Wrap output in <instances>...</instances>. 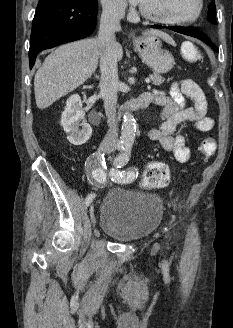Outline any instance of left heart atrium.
<instances>
[{"instance_id":"1","label":"left heart atrium","mask_w":233,"mask_h":328,"mask_svg":"<svg viewBox=\"0 0 233 328\" xmlns=\"http://www.w3.org/2000/svg\"><path fill=\"white\" fill-rule=\"evenodd\" d=\"M142 1H143V0H130V2H131L132 4H135V5H137V4H141Z\"/></svg>"}]
</instances>
